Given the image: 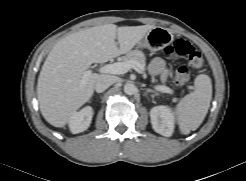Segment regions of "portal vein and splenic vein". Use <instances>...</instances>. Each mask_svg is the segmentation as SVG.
Listing matches in <instances>:
<instances>
[{"instance_id":"portal-vein-and-splenic-vein-1","label":"portal vein and splenic vein","mask_w":246,"mask_h":181,"mask_svg":"<svg viewBox=\"0 0 246 181\" xmlns=\"http://www.w3.org/2000/svg\"><path fill=\"white\" fill-rule=\"evenodd\" d=\"M130 69H134L138 73H143V71H144V67L141 64H139L138 62L128 61V62H116L113 64H107V65L101 67L99 69V72L105 73V74L119 75V74L127 73ZM91 74H92L91 70L85 71L83 74V78L81 80V84H85L88 77ZM155 89L159 92H162V93H168V94L174 93V91L171 88L164 86V85H157V86H155ZM188 89H190V87H188Z\"/></svg>"}]
</instances>
